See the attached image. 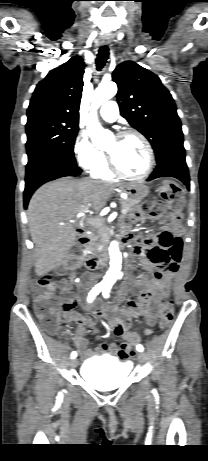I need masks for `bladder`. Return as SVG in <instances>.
<instances>
[{
  "label": "bladder",
  "mask_w": 208,
  "mask_h": 461,
  "mask_svg": "<svg viewBox=\"0 0 208 461\" xmlns=\"http://www.w3.org/2000/svg\"><path fill=\"white\" fill-rule=\"evenodd\" d=\"M86 382L99 390H113L121 386L130 372V364L110 356L88 359L81 368Z\"/></svg>",
  "instance_id": "31cf9c89"
}]
</instances>
